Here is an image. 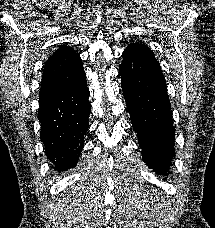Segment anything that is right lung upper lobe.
I'll use <instances>...</instances> for the list:
<instances>
[{
    "label": "right lung upper lobe",
    "instance_id": "obj_1",
    "mask_svg": "<svg viewBox=\"0 0 215 228\" xmlns=\"http://www.w3.org/2000/svg\"><path fill=\"white\" fill-rule=\"evenodd\" d=\"M85 74L80 56L71 48L61 45L45 62L39 104L59 95L67 81H75Z\"/></svg>",
    "mask_w": 215,
    "mask_h": 228
}]
</instances>
